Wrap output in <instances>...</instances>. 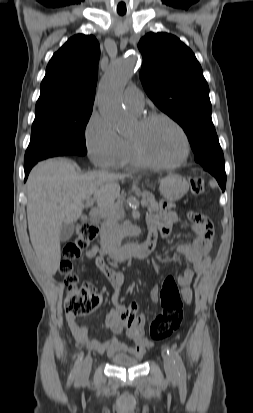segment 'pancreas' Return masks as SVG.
<instances>
[{
    "instance_id": "pancreas-1",
    "label": "pancreas",
    "mask_w": 253,
    "mask_h": 413,
    "mask_svg": "<svg viewBox=\"0 0 253 413\" xmlns=\"http://www.w3.org/2000/svg\"><path fill=\"white\" fill-rule=\"evenodd\" d=\"M136 193L138 196H141V202L144 204V206H147L149 212H157L159 210V206L157 201L155 200L154 196L148 192V191H143L140 192L138 189H136ZM124 216V211L122 208H115L113 211H110L107 215V220L111 223H115Z\"/></svg>"
}]
</instances>
